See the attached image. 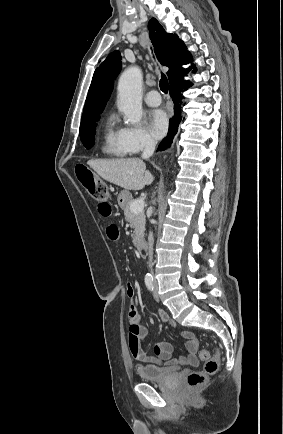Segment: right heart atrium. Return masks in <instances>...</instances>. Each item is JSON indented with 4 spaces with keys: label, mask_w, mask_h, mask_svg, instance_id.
<instances>
[{
    "label": "right heart atrium",
    "mask_w": 283,
    "mask_h": 434,
    "mask_svg": "<svg viewBox=\"0 0 283 434\" xmlns=\"http://www.w3.org/2000/svg\"><path fill=\"white\" fill-rule=\"evenodd\" d=\"M122 140L128 153L137 154L155 145V140L142 126L122 129Z\"/></svg>",
    "instance_id": "d8ad5b80"
}]
</instances>
